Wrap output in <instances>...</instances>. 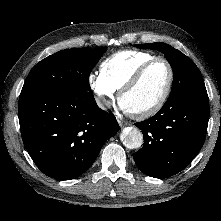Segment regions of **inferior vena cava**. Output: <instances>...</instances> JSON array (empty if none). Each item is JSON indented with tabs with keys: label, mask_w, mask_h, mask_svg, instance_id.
Returning <instances> with one entry per match:
<instances>
[{
	"label": "inferior vena cava",
	"mask_w": 221,
	"mask_h": 221,
	"mask_svg": "<svg viewBox=\"0 0 221 221\" xmlns=\"http://www.w3.org/2000/svg\"><path fill=\"white\" fill-rule=\"evenodd\" d=\"M97 104L100 108L105 109V106H110V101L103 98H98Z\"/></svg>",
	"instance_id": "602c4592"
}]
</instances>
